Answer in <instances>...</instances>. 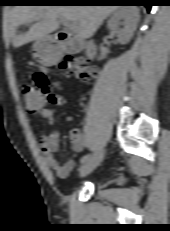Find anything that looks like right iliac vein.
I'll return each instance as SVG.
<instances>
[{
	"label": "right iliac vein",
	"instance_id": "63e3f726",
	"mask_svg": "<svg viewBox=\"0 0 170 231\" xmlns=\"http://www.w3.org/2000/svg\"><path fill=\"white\" fill-rule=\"evenodd\" d=\"M104 157V149L98 150L91 158L81 166L79 174L81 177H85L90 174L99 164Z\"/></svg>",
	"mask_w": 170,
	"mask_h": 231
}]
</instances>
